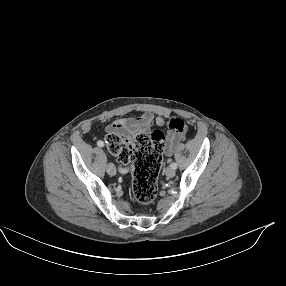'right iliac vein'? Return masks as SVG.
<instances>
[{"instance_id":"63e3f726","label":"right iliac vein","mask_w":286,"mask_h":286,"mask_svg":"<svg viewBox=\"0 0 286 286\" xmlns=\"http://www.w3.org/2000/svg\"><path fill=\"white\" fill-rule=\"evenodd\" d=\"M107 173L111 176L115 175L116 174V167L114 166L113 163H109L107 165Z\"/></svg>"}]
</instances>
